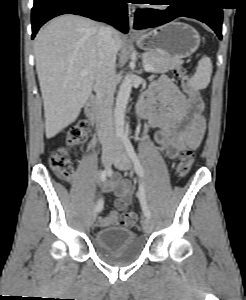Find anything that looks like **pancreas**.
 I'll use <instances>...</instances> for the list:
<instances>
[{"label":"pancreas","mask_w":246,"mask_h":300,"mask_svg":"<svg viewBox=\"0 0 246 300\" xmlns=\"http://www.w3.org/2000/svg\"><path fill=\"white\" fill-rule=\"evenodd\" d=\"M142 56L144 64L153 66L155 73H165L181 64L170 62L156 53L146 52Z\"/></svg>","instance_id":"1"}]
</instances>
